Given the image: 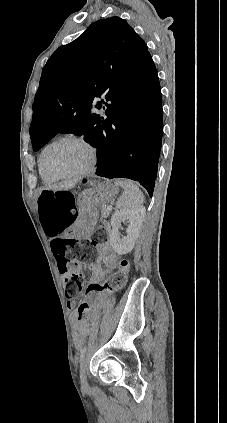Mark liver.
I'll use <instances>...</instances> for the list:
<instances>
[{"instance_id":"1","label":"liver","mask_w":227,"mask_h":423,"mask_svg":"<svg viewBox=\"0 0 227 423\" xmlns=\"http://www.w3.org/2000/svg\"><path fill=\"white\" fill-rule=\"evenodd\" d=\"M73 184L71 182H61V184H52V186H47L45 190H71Z\"/></svg>"}]
</instances>
